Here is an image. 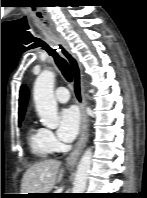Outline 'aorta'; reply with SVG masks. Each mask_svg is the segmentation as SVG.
Returning <instances> with one entry per match:
<instances>
[{
	"mask_svg": "<svg viewBox=\"0 0 147 198\" xmlns=\"http://www.w3.org/2000/svg\"><path fill=\"white\" fill-rule=\"evenodd\" d=\"M55 74L44 70L36 79L33 88L35 108L43 126L57 128L59 124L57 102L53 89ZM92 163V150L88 148L81 157L75 176L72 193H84Z\"/></svg>",
	"mask_w": 147,
	"mask_h": 198,
	"instance_id": "1",
	"label": "aorta"
}]
</instances>
